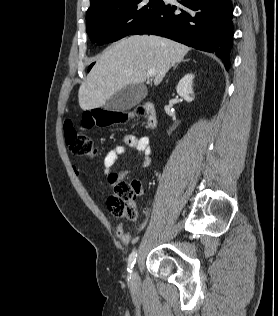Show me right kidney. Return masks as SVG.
Wrapping results in <instances>:
<instances>
[{
    "label": "right kidney",
    "instance_id": "right-kidney-1",
    "mask_svg": "<svg viewBox=\"0 0 278 316\" xmlns=\"http://www.w3.org/2000/svg\"><path fill=\"white\" fill-rule=\"evenodd\" d=\"M193 79H194L193 74H186L179 81L176 88L178 95L184 98L187 102H191L194 99V92L192 88Z\"/></svg>",
    "mask_w": 278,
    "mask_h": 316
}]
</instances>
